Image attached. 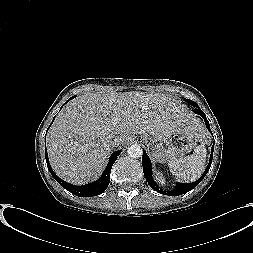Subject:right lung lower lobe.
Returning a JSON list of instances; mask_svg holds the SVG:
<instances>
[{"label": "right lung lower lobe", "instance_id": "obj_1", "mask_svg": "<svg viewBox=\"0 0 253 253\" xmlns=\"http://www.w3.org/2000/svg\"><path fill=\"white\" fill-rule=\"evenodd\" d=\"M72 98L67 100L70 101ZM66 102V103H67ZM65 103V104H66ZM53 122V121H52ZM121 153V150L114 152L109 159L108 165L105 169V171L103 172L102 176L95 182L93 183H89L87 185H83V186H75L72 184H69L65 181H63L62 179H60L52 170L50 164H49V160H48V155H47V151H46V162H47V167L50 171V173L53 175V177L55 178V180L66 190H68L69 192L80 196V197H91V196H97L101 193H103L105 191V189L108 187L109 182H110V172H111V168L114 164V162L117 159V156Z\"/></svg>", "mask_w": 253, "mask_h": 253}]
</instances>
